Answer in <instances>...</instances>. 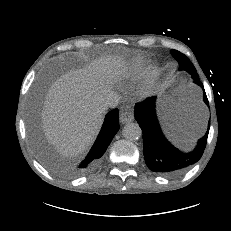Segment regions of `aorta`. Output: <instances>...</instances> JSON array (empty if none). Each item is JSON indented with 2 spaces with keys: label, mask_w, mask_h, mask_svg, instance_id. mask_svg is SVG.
Listing matches in <instances>:
<instances>
[{
  "label": "aorta",
  "mask_w": 231,
  "mask_h": 231,
  "mask_svg": "<svg viewBox=\"0 0 231 231\" xmlns=\"http://www.w3.org/2000/svg\"><path fill=\"white\" fill-rule=\"evenodd\" d=\"M123 135L129 141H136L142 135V130L137 123H129L123 128Z\"/></svg>",
  "instance_id": "obj_1"
}]
</instances>
